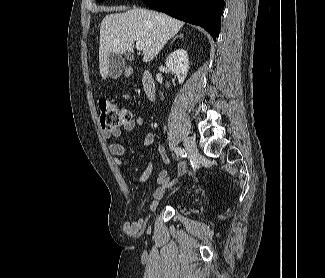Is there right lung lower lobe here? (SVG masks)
<instances>
[{"label":"right lung lower lobe","mask_w":325,"mask_h":278,"mask_svg":"<svg viewBox=\"0 0 325 278\" xmlns=\"http://www.w3.org/2000/svg\"><path fill=\"white\" fill-rule=\"evenodd\" d=\"M156 11L203 27L215 40L221 26L224 0H142Z\"/></svg>","instance_id":"obj_1"}]
</instances>
